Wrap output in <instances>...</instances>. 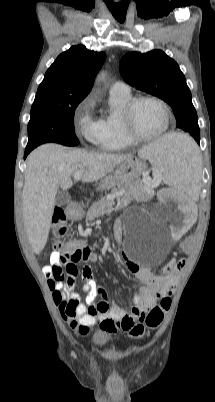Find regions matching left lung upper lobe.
I'll list each match as a JSON object with an SVG mask.
<instances>
[{
	"mask_svg": "<svg viewBox=\"0 0 215 402\" xmlns=\"http://www.w3.org/2000/svg\"><path fill=\"white\" fill-rule=\"evenodd\" d=\"M123 79L131 86L167 102L175 113L177 127L197 141L200 130L191 92L178 64L161 50L131 52L119 64Z\"/></svg>",
	"mask_w": 215,
	"mask_h": 402,
	"instance_id": "obj_1",
	"label": "left lung upper lobe"
}]
</instances>
